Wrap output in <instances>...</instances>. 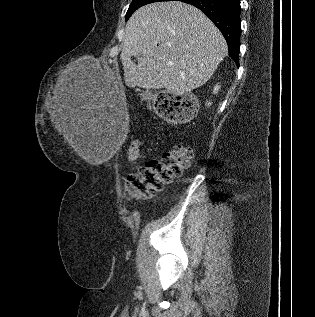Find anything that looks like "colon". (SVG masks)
I'll return each mask as SVG.
<instances>
[{"mask_svg": "<svg viewBox=\"0 0 315 317\" xmlns=\"http://www.w3.org/2000/svg\"><path fill=\"white\" fill-rule=\"evenodd\" d=\"M155 109L157 114L165 120L186 121L194 116L196 102L189 95L160 92L155 96ZM128 156L131 160L139 158V141L130 145ZM192 157V149L180 144L163 154L161 159L148 161L128 175L126 182L127 195L137 199L153 196L174 178L180 176L189 165Z\"/></svg>", "mask_w": 315, "mask_h": 317, "instance_id": "colon-1", "label": "colon"}]
</instances>
